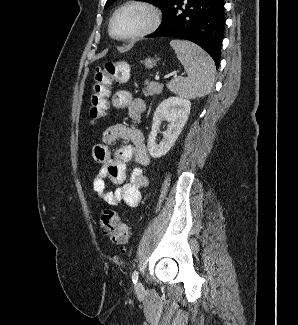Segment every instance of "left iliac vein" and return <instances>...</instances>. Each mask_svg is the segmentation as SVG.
<instances>
[{
    "instance_id": "1",
    "label": "left iliac vein",
    "mask_w": 298,
    "mask_h": 325,
    "mask_svg": "<svg viewBox=\"0 0 298 325\" xmlns=\"http://www.w3.org/2000/svg\"><path fill=\"white\" fill-rule=\"evenodd\" d=\"M136 290L137 291H142L143 290V285H142V283L140 281L136 284Z\"/></svg>"
}]
</instances>
